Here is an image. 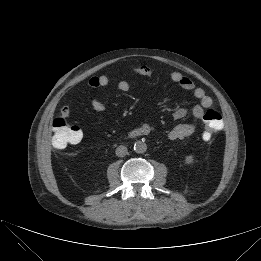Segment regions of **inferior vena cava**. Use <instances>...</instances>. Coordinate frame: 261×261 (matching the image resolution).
<instances>
[{
  "instance_id": "1",
  "label": "inferior vena cava",
  "mask_w": 261,
  "mask_h": 261,
  "mask_svg": "<svg viewBox=\"0 0 261 261\" xmlns=\"http://www.w3.org/2000/svg\"><path fill=\"white\" fill-rule=\"evenodd\" d=\"M115 153L118 157H124L128 153L127 147L120 145L116 148Z\"/></svg>"
}]
</instances>
